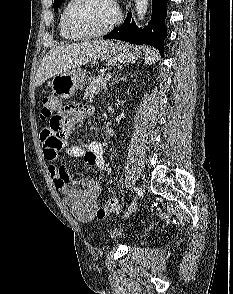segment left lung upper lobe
<instances>
[{
    "label": "left lung upper lobe",
    "mask_w": 233,
    "mask_h": 294,
    "mask_svg": "<svg viewBox=\"0 0 233 294\" xmlns=\"http://www.w3.org/2000/svg\"><path fill=\"white\" fill-rule=\"evenodd\" d=\"M64 0H54V10H56L58 7H60V5L62 4Z\"/></svg>",
    "instance_id": "left-lung-upper-lobe-1"
}]
</instances>
